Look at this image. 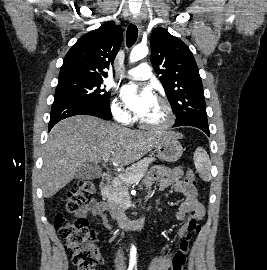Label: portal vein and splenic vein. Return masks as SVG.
<instances>
[{"instance_id": "portal-vein-and-splenic-vein-1", "label": "portal vein and splenic vein", "mask_w": 267, "mask_h": 270, "mask_svg": "<svg viewBox=\"0 0 267 270\" xmlns=\"http://www.w3.org/2000/svg\"><path fill=\"white\" fill-rule=\"evenodd\" d=\"M104 162L106 163L109 160V156H105L103 157ZM121 175L119 174L118 177H120ZM125 182L127 183H132V182H137L135 179L133 178H122Z\"/></svg>"}]
</instances>
